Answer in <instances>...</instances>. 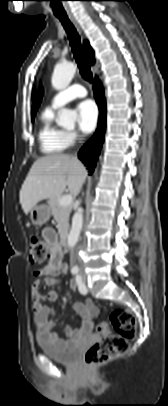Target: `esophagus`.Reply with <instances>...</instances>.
Returning <instances> with one entry per match:
<instances>
[{"instance_id":"1","label":"esophagus","mask_w":168,"mask_h":406,"mask_svg":"<svg viewBox=\"0 0 168 406\" xmlns=\"http://www.w3.org/2000/svg\"><path fill=\"white\" fill-rule=\"evenodd\" d=\"M71 21H72V23L74 24V26L77 28V30L81 33V30H80V27H79L78 22H77L74 18H71Z\"/></svg>"}]
</instances>
